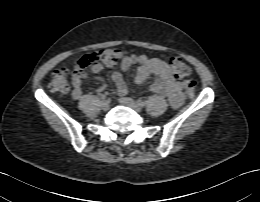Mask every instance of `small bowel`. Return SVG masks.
I'll return each mask as SVG.
<instances>
[{"instance_id": "c3829d8e", "label": "small bowel", "mask_w": 260, "mask_h": 202, "mask_svg": "<svg viewBox=\"0 0 260 202\" xmlns=\"http://www.w3.org/2000/svg\"><path fill=\"white\" fill-rule=\"evenodd\" d=\"M134 65H138L135 83L142 84L150 76H154L155 80L150 85L149 91L165 96L173 107H179L183 101L182 89L183 85L173 76L168 64L160 58L148 57L146 55H126L122 58L119 68L112 72L111 79L115 84L116 92L119 96L127 94V85L123 79V72L128 71ZM102 69L101 65L94 66L90 72L85 71L73 75V97L78 99L82 94L83 80L88 78L91 73H97ZM97 84V91L105 88L104 82L94 79Z\"/></svg>"}]
</instances>
